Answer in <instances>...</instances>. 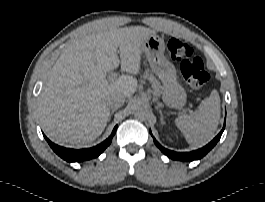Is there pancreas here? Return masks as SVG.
<instances>
[{
	"label": "pancreas",
	"instance_id": "pancreas-1",
	"mask_svg": "<svg viewBox=\"0 0 265 202\" xmlns=\"http://www.w3.org/2000/svg\"><path fill=\"white\" fill-rule=\"evenodd\" d=\"M146 76H148V74H146ZM149 79L153 83L154 90L156 92H159V89L161 88L159 82L152 76H150Z\"/></svg>",
	"mask_w": 265,
	"mask_h": 202
}]
</instances>
